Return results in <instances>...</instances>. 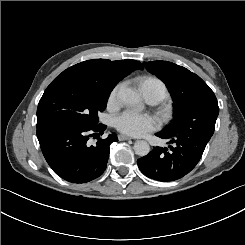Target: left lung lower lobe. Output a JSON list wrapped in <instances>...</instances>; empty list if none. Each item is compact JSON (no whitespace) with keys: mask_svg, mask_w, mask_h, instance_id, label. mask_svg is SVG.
<instances>
[{"mask_svg":"<svg viewBox=\"0 0 245 245\" xmlns=\"http://www.w3.org/2000/svg\"><path fill=\"white\" fill-rule=\"evenodd\" d=\"M215 122L211 115H202L182 129L156 133V136L169 140L170 149L154 148L137 160L139 169L145 176L157 181L170 182L183 178L199 162L214 133Z\"/></svg>","mask_w":245,"mask_h":245,"instance_id":"left-lung-lower-lobe-1","label":"left lung lower lobe"}]
</instances>
